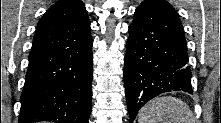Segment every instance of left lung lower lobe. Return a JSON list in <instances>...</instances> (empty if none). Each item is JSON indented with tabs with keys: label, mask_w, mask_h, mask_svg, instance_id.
<instances>
[{
	"label": "left lung lower lobe",
	"mask_w": 221,
	"mask_h": 123,
	"mask_svg": "<svg viewBox=\"0 0 221 123\" xmlns=\"http://www.w3.org/2000/svg\"><path fill=\"white\" fill-rule=\"evenodd\" d=\"M128 31L124 84L132 122L153 97L169 91H193L187 43L179 18L145 0L136 8Z\"/></svg>",
	"instance_id": "1"
}]
</instances>
